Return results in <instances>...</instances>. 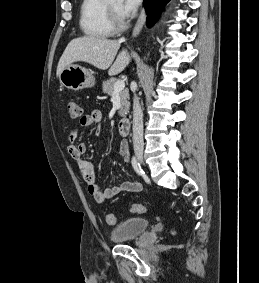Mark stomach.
Listing matches in <instances>:
<instances>
[{"mask_svg": "<svg viewBox=\"0 0 259 283\" xmlns=\"http://www.w3.org/2000/svg\"><path fill=\"white\" fill-rule=\"evenodd\" d=\"M60 83L72 90L90 88L95 85V77L86 68L79 65H69L59 75Z\"/></svg>", "mask_w": 259, "mask_h": 283, "instance_id": "1", "label": "stomach"}]
</instances>
